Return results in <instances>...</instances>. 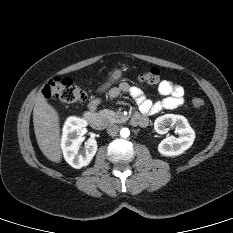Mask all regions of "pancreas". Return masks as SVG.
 Returning <instances> with one entry per match:
<instances>
[{"instance_id": "1", "label": "pancreas", "mask_w": 233, "mask_h": 233, "mask_svg": "<svg viewBox=\"0 0 233 233\" xmlns=\"http://www.w3.org/2000/svg\"><path fill=\"white\" fill-rule=\"evenodd\" d=\"M99 114L102 117L108 119L110 122L120 123V122H123L125 120L120 113L114 112V111L109 110V109L100 110Z\"/></svg>"}]
</instances>
